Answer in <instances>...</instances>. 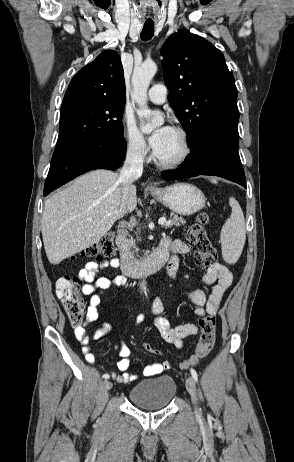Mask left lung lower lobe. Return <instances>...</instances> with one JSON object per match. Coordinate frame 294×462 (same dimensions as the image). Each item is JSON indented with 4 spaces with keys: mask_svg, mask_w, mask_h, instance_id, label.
I'll return each instance as SVG.
<instances>
[{
    "mask_svg": "<svg viewBox=\"0 0 294 462\" xmlns=\"http://www.w3.org/2000/svg\"><path fill=\"white\" fill-rule=\"evenodd\" d=\"M239 112L234 111L214 122L205 134L189 148L187 156L176 170L162 172L165 180L182 179L198 175H214L234 181L246 188L244 170L238 154Z\"/></svg>",
    "mask_w": 294,
    "mask_h": 462,
    "instance_id": "obj_1",
    "label": "left lung lower lobe"
}]
</instances>
